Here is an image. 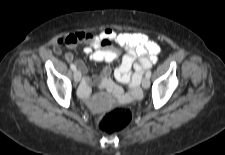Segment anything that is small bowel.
Instances as JSON below:
<instances>
[{"label":"small bowel","mask_w":225,"mask_h":155,"mask_svg":"<svg viewBox=\"0 0 225 155\" xmlns=\"http://www.w3.org/2000/svg\"><path fill=\"white\" fill-rule=\"evenodd\" d=\"M84 44V52L94 62H113L120 57V50L113 46L117 44L124 50L121 63L114 72L115 79L121 84L129 85L125 92L111 79V69L104 67L94 79L87 75V67L81 60L76 64L85 74L79 88V95L88 100L91 94V84L95 81L99 89L111 94L113 100L119 103H129L141 97L139 89L140 77L144 70L151 67L157 60L159 46L142 33H117L112 29H105L99 34L89 32H75L61 37L54 45V52L61 53L62 48L71 49L77 44ZM65 58L73 61V54L67 52ZM110 99H105L103 104H109Z\"/></svg>","instance_id":"c3829d8e"}]
</instances>
